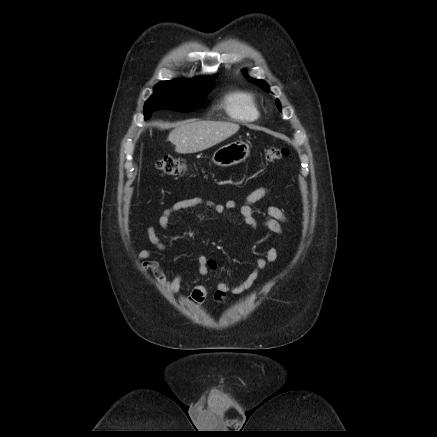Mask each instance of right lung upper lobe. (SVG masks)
Masks as SVG:
<instances>
[{"mask_svg": "<svg viewBox=\"0 0 437 437\" xmlns=\"http://www.w3.org/2000/svg\"><path fill=\"white\" fill-rule=\"evenodd\" d=\"M213 80H214V77H211V78L198 79L194 82L199 83L198 85H204V84H207L208 82H211Z\"/></svg>", "mask_w": 437, "mask_h": 437, "instance_id": "cb5924a9", "label": "right lung upper lobe"}]
</instances>
